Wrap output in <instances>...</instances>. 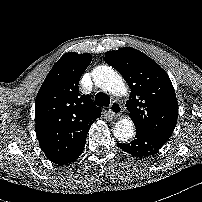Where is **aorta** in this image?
<instances>
[{"label": "aorta", "instance_id": "1", "mask_svg": "<svg viewBox=\"0 0 202 202\" xmlns=\"http://www.w3.org/2000/svg\"><path fill=\"white\" fill-rule=\"evenodd\" d=\"M95 83L105 92L115 96H126L128 87L123 78L107 66H98L92 72ZM133 121L128 118L120 119L114 126V135L119 141H128L134 135Z\"/></svg>", "mask_w": 202, "mask_h": 202}]
</instances>
